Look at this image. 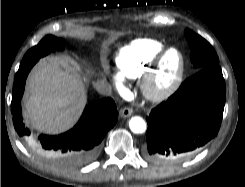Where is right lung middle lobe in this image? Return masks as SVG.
I'll return each instance as SVG.
<instances>
[{"instance_id": "right-lung-middle-lobe-1", "label": "right lung middle lobe", "mask_w": 245, "mask_h": 187, "mask_svg": "<svg viewBox=\"0 0 245 187\" xmlns=\"http://www.w3.org/2000/svg\"><path fill=\"white\" fill-rule=\"evenodd\" d=\"M64 40L60 39L58 40L56 37L52 35L45 36L38 45L31 48L23 57V60L35 58V57H43L47 54H49L51 51L55 49H63Z\"/></svg>"}]
</instances>
